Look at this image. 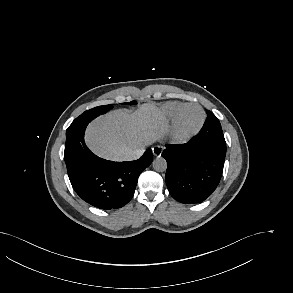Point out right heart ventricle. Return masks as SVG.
Listing matches in <instances>:
<instances>
[{
	"mask_svg": "<svg viewBox=\"0 0 293 293\" xmlns=\"http://www.w3.org/2000/svg\"><path fill=\"white\" fill-rule=\"evenodd\" d=\"M181 105V103L177 102H169L162 106V113L164 116L168 118H173L177 108Z\"/></svg>",
	"mask_w": 293,
	"mask_h": 293,
	"instance_id": "right-heart-ventricle-1",
	"label": "right heart ventricle"
}]
</instances>
